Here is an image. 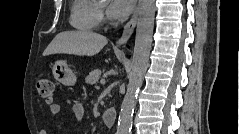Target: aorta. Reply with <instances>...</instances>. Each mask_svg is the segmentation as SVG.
<instances>
[{
	"label": "aorta",
	"instance_id": "obj_1",
	"mask_svg": "<svg viewBox=\"0 0 239 134\" xmlns=\"http://www.w3.org/2000/svg\"><path fill=\"white\" fill-rule=\"evenodd\" d=\"M155 0H142L127 92L121 105L117 134H129L136 96L148 67L155 19Z\"/></svg>",
	"mask_w": 239,
	"mask_h": 134
}]
</instances>
